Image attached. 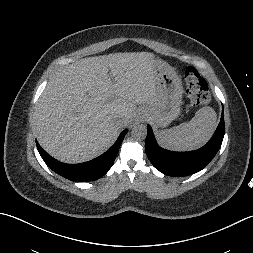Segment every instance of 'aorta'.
Here are the masks:
<instances>
[{
	"label": "aorta",
	"mask_w": 253,
	"mask_h": 253,
	"mask_svg": "<svg viewBox=\"0 0 253 253\" xmlns=\"http://www.w3.org/2000/svg\"><path fill=\"white\" fill-rule=\"evenodd\" d=\"M131 134L135 140H144L147 135V128L144 124H135L132 128Z\"/></svg>",
	"instance_id": "obj_1"
}]
</instances>
